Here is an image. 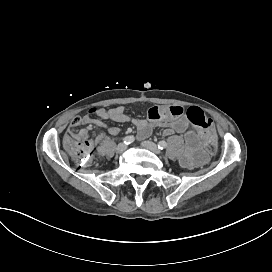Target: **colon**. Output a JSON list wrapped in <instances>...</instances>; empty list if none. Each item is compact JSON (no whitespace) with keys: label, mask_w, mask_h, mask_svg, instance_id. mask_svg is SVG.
Returning a JSON list of instances; mask_svg holds the SVG:
<instances>
[{"label":"colon","mask_w":272,"mask_h":272,"mask_svg":"<svg viewBox=\"0 0 272 272\" xmlns=\"http://www.w3.org/2000/svg\"><path fill=\"white\" fill-rule=\"evenodd\" d=\"M187 118L193 126L200 130L206 147L214 151L218 146L217 127L214 121L209 118L208 112L196 105H189L187 107ZM89 144L88 134L83 136V140H76L72 143L71 152L75 161L82 164L89 161L91 156V152L88 151Z\"/></svg>","instance_id":"1"}]
</instances>
